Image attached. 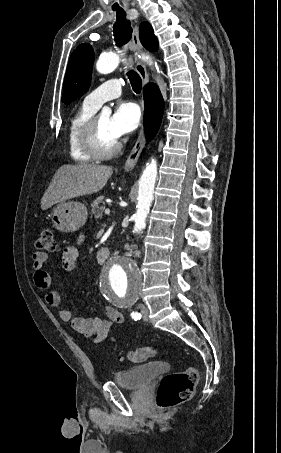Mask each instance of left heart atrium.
Instances as JSON below:
<instances>
[{
    "label": "left heart atrium",
    "instance_id": "left-heart-atrium-1",
    "mask_svg": "<svg viewBox=\"0 0 281 453\" xmlns=\"http://www.w3.org/2000/svg\"><path fill=\"white\" fill-rule=\"evenodd\" d=\"M141 118V111L137 104L120 101L110 120L112 134L118 139L122 135L133 132L139 127Z\"/></svg>",
    "mask_w": 281,
    "mask_h": 453
}]
</instances>
